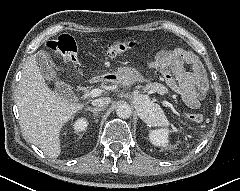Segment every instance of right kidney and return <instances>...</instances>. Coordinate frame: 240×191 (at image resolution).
Returning a JSON list of instances; mask_svg holds the SVG:
<instances>
[{"label": "right kidney", "mask_w": 240, "mask_h": 191, "mask_svg": "<svg viewBox=\"0 0 240 191\" xmlns=\"http://www.w3.org/2000/svg\"><path fill=\"white\" fill-rule=\"evenodd\" d=\"M88 126V122L85 118H79L73 125L75 133L78 134L81 131H84Z\"/></svg>", "instance_id": "right-kidney-1"}]
</instances>
